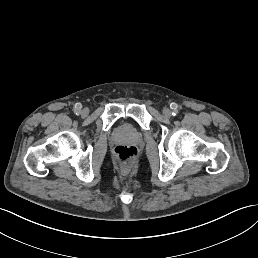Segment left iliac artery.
<instances>
[{
  "mask_svg": "<svg viewBox=\"0 0 258 258\" xmlns=\"http://www.w3.org/2000/svg\"><path fill=\"white\" fill-rule=\"evenodd\" d=\"M178 115V110H175L172 112V116H177Z\"/></svg>",
  "mask_w": 258,
  "mask_h": 258,
  "instance_id": "1",
  "label": "left iliac artery"
}]
</instances>
